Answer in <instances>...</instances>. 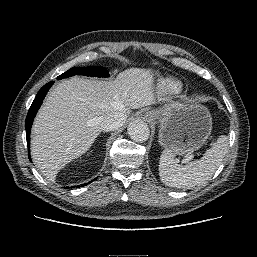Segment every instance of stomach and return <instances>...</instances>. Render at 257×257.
Instances as JSON below:
<instances>
[{
  "label": "stomach",
  "instance_id": "0dacf381",
  "mask_svg": "<svg viewBox=\"0 0 257 257\" xmlns=\"http://www.w3.org/2000/svg\"><path fill=\"white\" fill-rule=\"evenodd\" d=\"M150 113L160 123V145L177 155L199 149L212 131L209 110L196 102L170 104Z\"/></svg>",
  "mask_w": 257,
  "mask_h": 257
}]
</instances>
